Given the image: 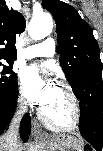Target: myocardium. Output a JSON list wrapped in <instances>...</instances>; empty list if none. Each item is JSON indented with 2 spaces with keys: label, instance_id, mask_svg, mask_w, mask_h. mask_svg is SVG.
Returning a JSON list of instances; mask_svg holds the SVG:
<instances>
[{
  "label": "myocardium",
  "instance_id": "obj_1",
  "mask_svg": "<svg viewBox=\"0 0 103 151\" xmlns=\"http://www.w3.org/2000/svg\"><path fill=\"white\" fill-rule=\"evenodd\" d=\"M58 87L67 94V96L70 100V105H71V109H72L71 120L66 124L54 123L47 117L44 110L40 111V119L43 122V124L46 127H48L49 129H52L55 131H71L79 125L80 120H81L80 103H79L78 97L76 96L74 90L72 89V87L69 84H67L65 82H60L58 84Z\"/></svg>",
  "mask_w": 103,
  "mask_h": 151
}]
</instances>
